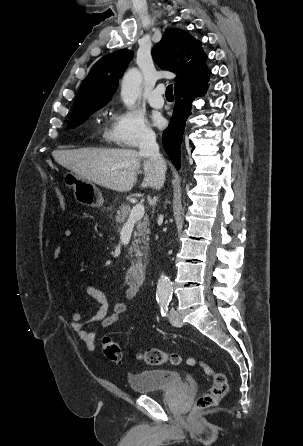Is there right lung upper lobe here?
I'll return each mask as SVG.
<instances>
[{"label": "right lung upper lobe", "instance_id": "1", "mask_svg": "<svg viewBox=\"0 0 303 446\" xmlns=\"http://www.w3.org/2000/svg\"><path fill=\"white\" fill-rule=\"evenodd\" d=\"M132 56V51L122 49L101 58L83 82L72 114L104 106L115 92ZM152 56L160 68L178 74L174 90L210 74L201 43L180 29L167 30L154 46Z\"/></svg>", "mask_w": 303, "mask_h": 446}]
</instances>
